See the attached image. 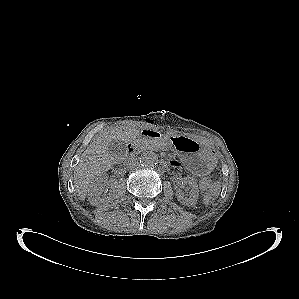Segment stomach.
Returning <instances> with one entry per match:
<instances>
[{
  "label": "stomach",
  "mask_w": 299,
  "mask_h": 299,
  "mask_svg": "<svg viewBox=\"0 0 299 299\" xmlns=\"http://www.w3.org/2000/svg\"><path fill=\"white\" fill-rule=\"evenodd\" d=\"M163 142L174 147L184 164L195 173L209 171L212 158L206 148L197 140L186 136H164Z\"/></svg>",
  "instance_id": "obj_1"
}]
</instances>
